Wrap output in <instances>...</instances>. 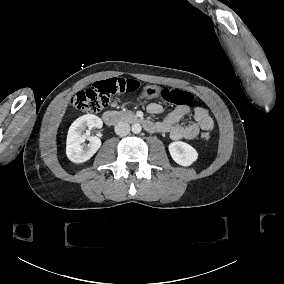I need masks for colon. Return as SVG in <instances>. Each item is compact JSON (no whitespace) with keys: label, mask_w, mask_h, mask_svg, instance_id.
<instances>
[{"label":"colon","mask_w":284,"mask_h":284,"mask_svg":"<svg viewBox=\"0 0 284 284\" xmlns=\"http://www.w3.org/2000/svg\"><path fill=\"white\" fill-rule=\"evenodd\" d=\"M140 86V82L135 79L109 78L96 82L92 87L80 90L73 98L74 107L86 113H94L102 110L109 101V97L114 94L124 92H135ZM164 99L167 104L174 107H186L191 104L193 95L186 88L178 89L171 87L166 90ZM204 139L209 138L207 132L202 134Z\"/></svg>","instance_id":"5ec220e1"}]
</instances>
